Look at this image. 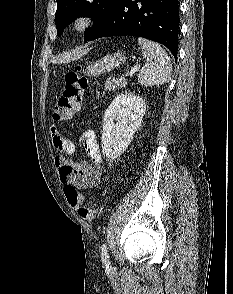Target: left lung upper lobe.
<instances>
[{"mask_svg":"<svg viewBox=\"0 0 233 294\" xmlns=\"http://www.w3.org/2000/svg\"><path fill=\"white\" fill-rule=\"evenodd\" d=\"M115 0H57L55 25L60 36L65 27L78 17L88 16L94 20V25L84 33V42L88 41L93 31L106 17Z\"/></svg>","mask_w":233,"mask_h":294,"instance_id":"left-lung-upper-lobe-1","label":"left lung upper lobe"}]
</instances>
